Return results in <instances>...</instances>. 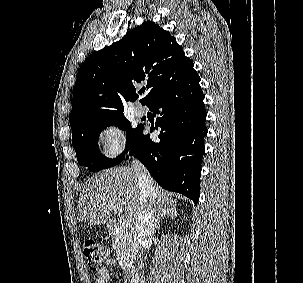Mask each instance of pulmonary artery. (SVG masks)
<instances>
[{"mask_svg":"<svg viewBox=\"0 0 303 283\" xmlns=\"http://www.w3.org/2000/svg\"><path fill=\"white\" fill-rule=\"evenodd\" d=\"M145 108L141 106L140 104H137L134 106V113L137 117H142L145 115Z\"/></svg>","mask_w":303,"mask_h":283,"instance_id":"e3ab8cb5","label":"pulmonary artery"}]
</instances>
